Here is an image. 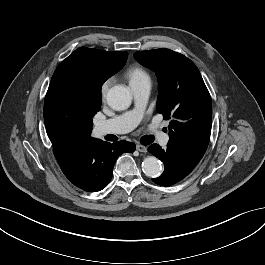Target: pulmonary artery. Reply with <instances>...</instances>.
<instances>
[{"label":"pulmonary artery","instance_id":"pulmonary-artery-1","mask_svg":"<svg viewBox=\"0 0 265 265\" xmlns=\"http://www.w3.org/2000/svg\"><path fill=\"white\" fill-rule=\"evenodd\" d=\"M130 86L135 102L133 109L99 122L96 126L98 135L127 133L133 130L143 118L145 105L151 92V80L148 78L140 82L132 83ZM152 128L153 138L161 145H166L169 139L168 135L157 125H153Z\"/></svg>","mask_w":265,"mask_h":265}]
</instances>
